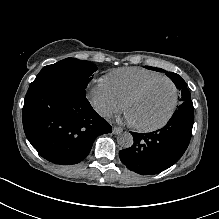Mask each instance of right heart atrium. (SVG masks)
<instances>
[{
	"instance_id": "1",
	"label": "right heart atrium",
	"mask_w": 219,
	"mask_h": 219,
	"mask_svg": "<svg viewBox=\"0 0 219 219\" xmlns=\"http://www.w3.org/2000/svg\"><path fill=\"white\" fill-rule=\"evenodd\" d=\"M87 97L98 114L109 118L123 109V103L116 98L104 80L90 86Z\"/></svg>"
}]
</instances>
